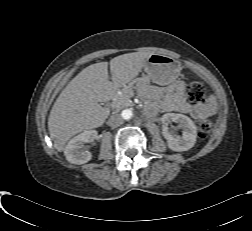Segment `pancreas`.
I'll use <instances>...</instances> for the list:
<instances>
[{
  "label": "pancreas",
  "mask_w": 252,
  "mask_h": 231,
  "mask_svg": "<svg viewBox=\"0 0 252 231\" xmlns=\"http://www.w3.org/2000/svg\"><path fill=\"white\" fill-rule=\"evenodd\" d=\"M147 84L148 83H145L142 87H144L146 90H150L151 88L146 86ZM114 105L117 110L130 105V96L128 95V90H122V93L115 98Z\"/></svg>",
  "instance_id": "cf45deb5"
}]
</instances>
